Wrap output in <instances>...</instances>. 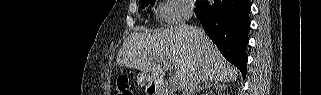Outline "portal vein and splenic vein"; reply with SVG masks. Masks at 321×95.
I'll return each mask as SVG.
<instances>
[{
	"instance_id": "18ae733b",
	"label": "portal vein and splenic vein",
	"mask_w": 321,
	"mask_h": 95,
	"mask_svg": "<svg viewBox=\"0 0 321 95\" xmlns=\"http://www.w3.org/2000/svg\"><path fill=\"white\" fill-rule=\"evenodd\" d=\"M163 64H164V66L166 67L167 70L171 71L173 69V66H172V64L170 62L163 61ZM170 82H171L172 85H176L177 84V80H176L175 76L171 77Z\"/></svg>"
}]
</instances>
